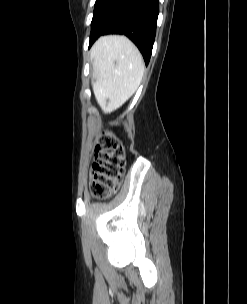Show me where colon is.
<instances>
[{"mask_svg":"<svg viewBox=\"0 0 247 304\" xmlns=\"http://www.w3.org/2000/svg\"><path fill=\"white\" fill-rule=\"evenodd\" d=\"M125 169V151L113 134L101 136L90 171V188L97 198H107L119 188Z\"/></svg>","mask_w":247,"mask_h":304,"instance_id":"obj_1","label":"colon"}]
</instances>
